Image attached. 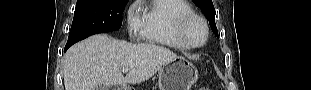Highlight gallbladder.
<instances>
[{
    "label": "gallbladder",
    "mask_w": 311,
    "mask_h": 90,
    "mask_svg": "<svg viewBox=\"0 0 311 90\" xmlns=\"http://www.w3.org/2000/svg\"><path fill=\"white\" fill-rule=\"evenodd\" d=\"M96 90H108V86L103 85V84H99L97 86Z\"/></svg>",
    "instance_id": "1"
}]
</instances>
